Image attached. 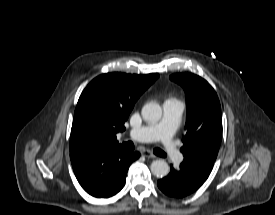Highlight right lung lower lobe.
I'll return each instance as SVG.
<instances>
[{"mask_svg": "<svg viewBox=\"0 0 275 215\" xmlns=\"http://www.w3.org/2000/svg\"><path fill=\"white\" fill-rule=\"evenodd\" d=\"M139 156V152L127 151L120 144L97 147L72 161V167L87 193L108 198L123 188L128 168Z\"/></svg>", "mask_w": 275, "mask_h": 215, "instance_id": "right-lung-lower-lobe-1", "label": "right lung lower lobe"}]
</instances>
